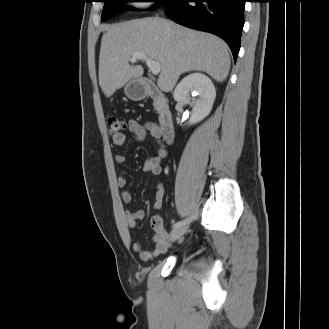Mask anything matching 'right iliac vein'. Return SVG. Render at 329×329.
<instances>
[{"mask_svg":"<svg viewBox=\"0 0 329 329\" xmlns=\"http://www.w3.org/2000/svg\"><path fill=\"white\" fill-rule=\"evenodd\" d=\"M188 225L189 224H185V225L174 228L171 232L170 240L172 242H174L177 239H179L187 231Z\"/></svg>","mask_w":329,"mask_h":329,"instance_id":"right-iliac-vein-1","label":"right iliac vein"}]
</instances>
